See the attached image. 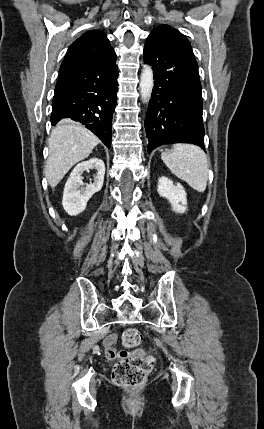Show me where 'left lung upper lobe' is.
<instances>
[{
	"mask_svg": "<svg viewBox=\"0 0 264 429\" xmlns=\"http://www.w3.org/2000/svg\"><path fill=\"white\" fill-rule=\"evenodd\" d=\"M155 29H172V30H175L174 28H172L171 26H169V25H161V26H159V27H157V28H155ZM178 32V31H177ZM182 35V34H181ZM183 36V35H182Z\"/></svg>",
	"mask_w": 264,
	"mask_h": 429,
	"instance_id": "obj_1",
	"label": "left lung upper lobe"
}]
</instances>
